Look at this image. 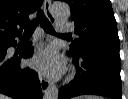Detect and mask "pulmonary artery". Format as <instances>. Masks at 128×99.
Returning a JSON list of instances; mask_svg holds the SVG:
<instances>
[{
	"label": "pulmonary artery",
	"mask_w": 128,
	"mask_h": 99,
	"mask_svg": "<svg viewBox=\"0 0 128 99\" xmlns=\"http://www.w3.org/2000/svg\"><path fill=\"white\" fill-rule=\"evenodd\" d=\"M56 28L58 31H61V32L72 31V25L64 21H58L56 23Z\"/></svg>",
	"instance_id": "pulmonary-artery-1"
}]
</instances>
